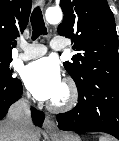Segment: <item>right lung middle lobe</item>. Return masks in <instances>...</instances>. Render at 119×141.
<instances>
[{
  "label": "right lung middle lobe",
  "instance_id": "right-lung-middle-lobe-1",
  "mask_svg": "<svg viewBox=\"0 0 119 141\" xmlns=\"http://www.w3.org/2000/svg\"><path fill=\"white\" fill-rule=\"evenodd\" d=\"M12 57L0 58V83L8 85L17 80L14 77V71L10 68Z\"/></svg>",
  "mask_w": 119,
  "mask_h": 141
}]
</instances>
